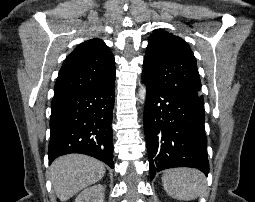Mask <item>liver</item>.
I'll list each match as a JSON object with an SVG mask.
<instances>
[{"instance_id":"6515ba94","label":"liver","mask_w":255,"mask_h":202,"mask_svg":"<svg viewBox=\"0 0 255 202\" xmlns=\"http://www.w3.org/2000/svg\"><path fill=\"white\" fill-rule=\"evenodd\" d=\"M105 171V165L92 157L69 154L51 164L50 178L57 197L64 202L102 179Z\"/></svg>"}]
</instances>
